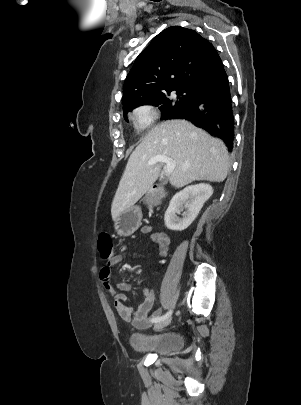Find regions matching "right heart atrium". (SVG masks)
Instances as JSON below:
<instances>
[{
	"label": "right heart atrium",
	"instance_id": "1",
	"mask_svg": "<svg viewBox=\"0 0 301 405\" xmlns=\"http://www.w3.org/2000/svg\"><path fill=\"white\" fill-rule=\"evenodd\" d=\"M159 112L156 107L144 104L137 107L132 113V120L139 129L149 127L158 118Z\"/></svg>",
	"mask_w": 301,
	"mask_h": 405
}]
</instances>
